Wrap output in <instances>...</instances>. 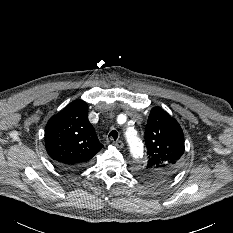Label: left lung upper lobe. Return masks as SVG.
Instances as JSON below:
<instances>
[{"instance_id":"1","label":"left lung upper lobe","mask_w":233,"mask_h":233,"mask_svg":"<svg viewBox=\"0 0 233 233\" xmlns=\"http://www.w3.org/2000/svg\"><path fill=\"white\" fill-rule=\"evenodd\" d=\"M148 162L138 170L151 182L171 178L180 167L185 151L183 131L178 122L160 107L151 109L145 128Z\"/></svg>"}]
</instances>
